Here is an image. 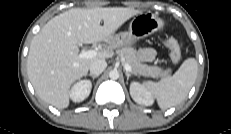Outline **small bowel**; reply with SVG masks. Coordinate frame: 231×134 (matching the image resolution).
<instances>
[{
	"label": "small bowel",
	"instance_id": "1",
	"mask_svg": "<svg viewBox=\"0 0 231 134\" xmlns=\"http://www.w3.org/2000/svg\"><path fill=\"white\" fill-rule=\"evenodd\" d=\"M157 56L156 51L153 48H143L138 52V57L143 62H152Z\"/></svg>",
	"mask_w": 231,
	"mask_h": 134
}]
</instances>
